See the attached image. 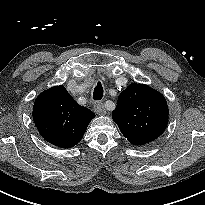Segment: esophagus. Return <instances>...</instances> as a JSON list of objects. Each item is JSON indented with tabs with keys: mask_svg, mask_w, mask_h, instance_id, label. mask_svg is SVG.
Here are the masks:
<instances>
[{
	"mask_svg": "<svg viewBox=\"0 0 205 205\" xmlns=\"http://www.w3.org/2000/svg\"><path fill=\"white\" fill-rule=\"evenodd\" d=\"M94 110L97 114L104 115L106 113L104 104L102 102H97L94 104Z\"/></svg>",
	"mask_w": 205,
	"mask_h": 205,
	"instance_id": "esophagus-1",
	"label": "esophagus"
}]
</instances>
